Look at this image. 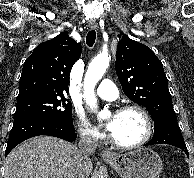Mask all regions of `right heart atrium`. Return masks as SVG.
I'll list each match as a JSON object with an SVG mask.
<instances>
[{
    "label": "right heart atrium",
    "instance_id": "right-heart-atrium-1",
    "mask_svg": "<svg viewBox=\"0 0 194 178\" xmlns=\"http://www.w3.org/2000/svg\"><path fill=\"white\" fill-rule=\"evenodd\" d=\"M76 129L81 139L87 142L97 143L104 138L82 115L77 117Z\"/></svg>",
    "mask_w": 194,
    "mask_h": 178
}]
</instances>
